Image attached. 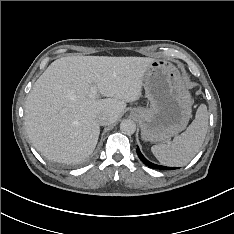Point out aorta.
Segmentation results:
<instances>
[{"mask_svg":"<svg viewBox=\"0 0 234 234\" xmlns=\"http://www.w3.org/2000/svg\"><path fill=\"white\" fill-rule=\"evenodd\" d=\"M120 130L127 135H132L136 131V124L133 120L124 119L120 123Z\"/></svg>","mask_w":234,"mask_h":234,"instance_id":"1","label":"aorta"}]
</instances>
